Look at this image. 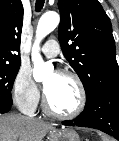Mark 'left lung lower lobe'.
<instances>
[{"label":"left lung lower lobe","mask_w":119,"mask_h":141,"mask_svg":"<svg viewBox=\"0 0 119 141\" xmlns=\"http://www.w3.org/2000/svg\"><path fill=\"white\" fill-rule=\"evenodd\" d=\"M63 125L99 129L119 141V86L103 89L86 98L84 111Z\"/></svg>","instance_id":"left-lung-lower-lobe-1"}]
</instances>
